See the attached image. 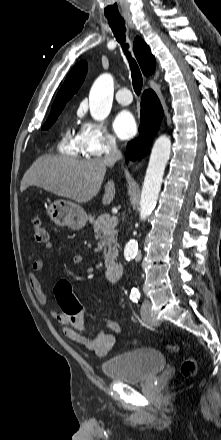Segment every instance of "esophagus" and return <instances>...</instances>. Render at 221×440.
Returning a JSON list of instances; mask_svg holds the SVG:
<instances>
[{
    "label": "esophagus",
    "mask_w": 221,
    "mask_h": 440,
    "mask_svg": "<svg viewBox=\"0 0 221 440\" xmlns=\"http://www.w3.org/2000/svg\"><path fill=\"white\" fill-rule=\"evenodd\" d=\"M125 20H126V22H127V24H128L129 27H131V28L134 27V26H133V23H132V21H131V19H130L129 17H126Z\"/></svg>",
    "instance_id": "obj_1"
}]
</instances>
